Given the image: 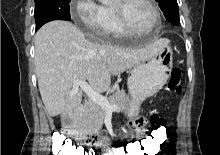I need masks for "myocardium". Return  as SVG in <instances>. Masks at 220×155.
I'll return each mask as SVG.
<instances>
[{
  "instance_id": "myocardium-1",
  "label": "myocardium",
  "mask_w": 220,
  "mask_h": 155,
  "mask_svg": "<svg viewBox=\"0 0 220 155\" xmlns=\"http://www.w3.org/2000/svg\"><path fill=\"white\" fill-rule=\"evenodd\" d=\"M120 1L121 3L119 5H115L114 9L116 11V14L118 16V19L122 27L128 34L146 35L158 29V27L160 26L161 18H160V14H159L158 8L154 0H144L149 5L151 12H152V16H153V23L151 27L146 30L135 29L128 21L126 12H125V7H126V4L130 2L131 0H120Z\"/></svg>"
}]
</instances>
